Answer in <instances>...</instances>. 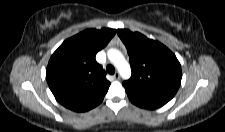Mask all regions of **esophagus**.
<instances>
[{"mask_svg":"<svg viewBox=\"0 0 225 132\" xmlns=\"http://www.w3.org/2000/svg\"><path fill=\"white\" fill-rule=\"evenodd\" d=\"M113 77H114L115 80H119L120 79V74L117 72V73L114 74Z\"/></svg>","mask_w":225,"mask_h":132,"instance_id":"obj_1","label":"esophagus"}]
</instances>
